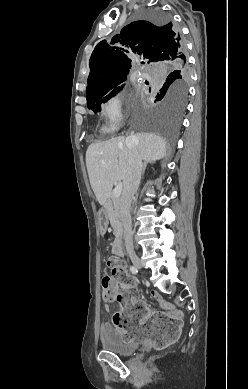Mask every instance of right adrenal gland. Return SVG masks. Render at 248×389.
I'll return each instance as SVG.
<instances>
[{
    "label": "right adrenal gland",
    "instance_id": "obj_1",
    "mask_svg": "<svg viewBox=\"0 0 248 389\" xmlns=\"http://www.w3.org/2000/svg\"><path fill=\"white\" fill-rule=\"evenodd\" d=\"M148 163H149V162L145 161L144 164H143L142 176H144L145 169H146Z\"/></svg>",
    "mask_w": 248,
    "mask_h": 389
}]
</instances>
